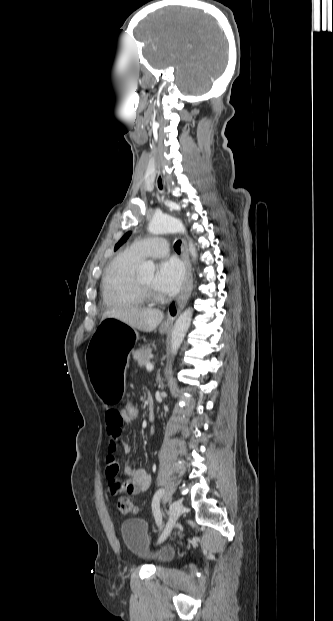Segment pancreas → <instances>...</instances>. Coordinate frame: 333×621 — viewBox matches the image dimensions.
<instances>
[{
	"label": "pancreas",
	"instance_id": "obj_1",
	"mask_svg": "<svg viewBox=\"0 0 333 621\" xmlns=\"http://www.w3.org/2000/svg\"><path fill=\"white\" fill-rule=\"evenodd\" d=\"M133 358L137 360L139 366H144L150 363L152 358L151 349L149 347H142L133 352Z\"/></svg>",
	"mask_w": 333,
	"mask_h": 621
}]
</instances>
